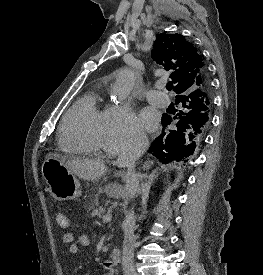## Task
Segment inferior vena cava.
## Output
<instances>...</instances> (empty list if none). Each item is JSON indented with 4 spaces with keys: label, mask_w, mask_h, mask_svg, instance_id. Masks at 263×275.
<instances>
[{
    "label": "inferior vena cava",
    "mask_w": 263,
    "mask_h": 275,
    "mask_svg": "<svg viewBox=\"0 0 263 275\" xmlns=\"http://www.w3.org/2000/svg\"><path fill=\"white\" fill-rule=\"evenodd\" d=\"M149 145L146 134L140 133L132 141L123 146L116 164L127 168L126 180L128 194L133 197L139 186L138 174L135 172V162L146 151ZM135 215L133 209L127 214L124 221V241L122 251V267L124 275H137L133 263L135 247Z\"/></svg>",
    "instance_id": "inferior-vena-cava-1"
}]
</instances>
